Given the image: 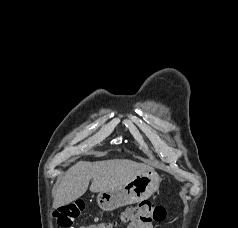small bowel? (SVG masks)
<instances>
[{
    "label": "small bowel",
    "mask_w": 238,
    "mask_h": 228,
    "mask_svg": "<svg viewBox=\"0 0 238 228\" xmlns=\"http://www.w3.org/2000/svg\"><path fill=\"white\" fill-rule=\"evenodd\" d=\"M128 228H154L152 224L130 223Z\"/></svg>",
    "instance_id": "small-bowel-1"
}]
</instances>
